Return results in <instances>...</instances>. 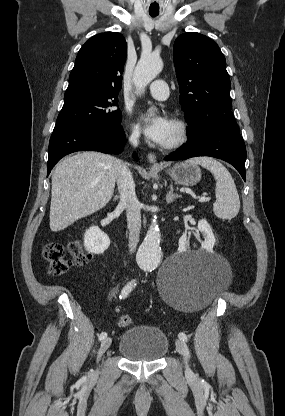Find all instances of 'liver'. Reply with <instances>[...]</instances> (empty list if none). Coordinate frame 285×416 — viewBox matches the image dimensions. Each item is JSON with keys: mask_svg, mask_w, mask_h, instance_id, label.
<instances>
[{"mask_svg": "<svg viewBox=\"0 0 285 416\" xmlns=\"http://www.w3.org/2000/svg\"><path fill=\"white\" fill-rule=\"evenodd\" d=\"M121 160L83 152L66 158L52 176L50 230L60 232L110 202Z\"/></svg>", "mask_w": 285, "mask_h": 416, "instance_id": "1", "label": "liver"}]
</instances>
